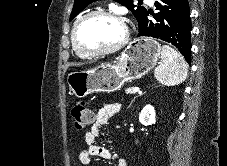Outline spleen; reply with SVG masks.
Segmentation results:
<instances>
[{"label":"spleen","mask_w":227,"mask_h":166,"mask_svg":"<svg viewBox=\"0 0 227 166\" xmlns=\"http://www.w3.org/2000/svg\"><path fill=\"white\" fill-rule=\"evenodd\" d=\"M188 65L184 57L173 47L163 45L161 63L155 68L154 76L163 85L174 86L185 81Z\"/></svg>","instance_id":"3e777b00"}]
</instances>
